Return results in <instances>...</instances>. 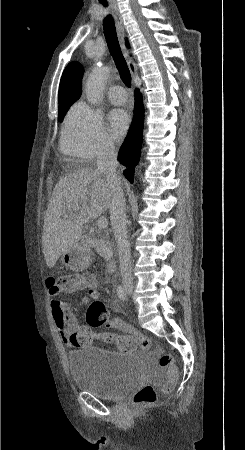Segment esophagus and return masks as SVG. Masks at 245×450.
Masks as SVG:
<instances>
[{"label": "esophagus", "mask_w": 245, "mask_h": 450, "mask_svg": "<svg viewBox=\"0 0 245 450\" xmlns=\"http://www.w3.org/2000/svg\"><path fill=\"white\" fill-rule=\"evenodd\" d=\"M112 9H113V15H114V19H115V25H116V29H117V34H118V38L120 41V45L122 48V51L124 53V56L126 58L127 64L129 66L130 72L132 74L133 77H135L136 75V65L133 61V59L130 56L129 51L127 50V48L125 47L124 44V37H125V28H124V24H123V20L121 17V14L119 12L118 6L117 4H112Z\"/></svg>", "instance_id": "esophagus-1"}]
</instances>
